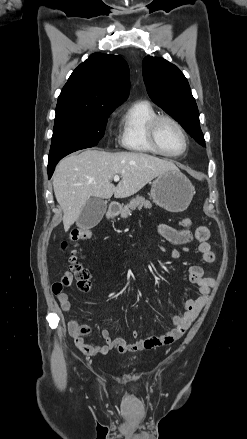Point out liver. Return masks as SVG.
<instances>
[{
	"mask_svg": "<svg viewBox=\"0 0 247 439\" xmlns=\"http://www.w3.org/2000/svg\"><path fill=\"white\" fill-rule=\"evenodd\" d=\"M178 170L170 161L138 152L108 153L87 149L62 159L56 166L53 188L63 210L64 230L79 218L91 197L126 198L141 190L160 174ZM122 179L115 187L111 180Z\"/></svg>",
	"mask_w": 247,
	"mask_h": 439,
	"instance_id": "1",
	"label": "liver"
}]
</instances>
